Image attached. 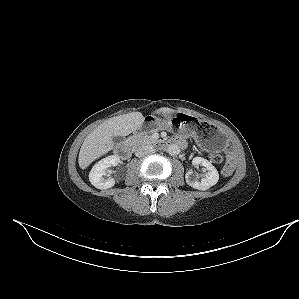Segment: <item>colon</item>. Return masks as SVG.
I'll list each match as a JSON object with an SVG mask.
<instances>
[{"label":"colon","instance_id":"1","mask_svg":"<svg viewBox=\"0 0 299 299\" xmlns=\"http://www.w3.org/2000/svg\"><path fill=\"white\" fill-rule=\"evenodd\" d=\"M212 159L216 163H221L223 161V156L220 153H215L212 155ZM234 164L232 162H228L223 169V173L225 175H230L233 172Z\"/></svg>","mask_w":299,"mask_h":299}]
</instances>
